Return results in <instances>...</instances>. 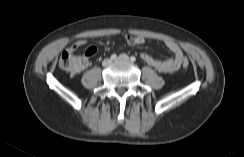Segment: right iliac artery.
Wrapping results in <instances>:
<instances>
[{
	"label": "right iliac artery",
	"instance_id": "82829eb1",
	"mask_svg": "<svg viewBox=\"0 0 244 157\" xmlns=\"http://www.w3.org/2000/svg\"><path fill=\"white\" fill-rule=\"evenodd\" d=\"M116 57H117L116 54H112V55H111V59H112V60L116 59Z\"/></svg>",
	"mask_w": 244,
	"mask_h": 157
}]
</instances>
